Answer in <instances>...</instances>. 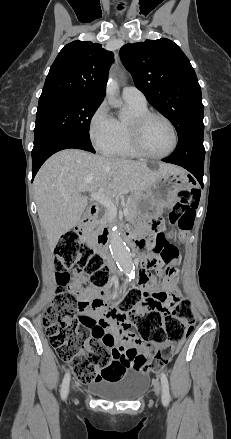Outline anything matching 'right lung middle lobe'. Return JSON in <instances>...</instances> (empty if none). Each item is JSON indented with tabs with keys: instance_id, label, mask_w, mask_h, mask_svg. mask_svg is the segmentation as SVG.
<instances>
[{
	"instance_id": "dd1d6c3e",
	"label": "right lung middle lobe",
	"mask_w": 231,
	"mask_h": 439,
	"mask_svg": "<svg viewBox=\"0 0 231 439\" xmlns=\"http://www.w3.org/2000/svg\"><path fill=\"white\" fill-rule=\"evenodd\" d=\"M100 104L101 101L81 97H59L39 101L33 149L63 134L91 143L90 121Z\"/></svg>"
}]
</instances>
